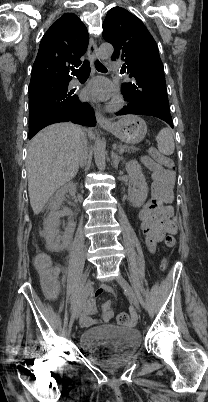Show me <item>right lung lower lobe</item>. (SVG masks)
<instances>
[{"instance_id": "98d812e1", "label": "right lung lower lobe", "mask_w": 208, "mask_h": 402, "mask_svg": "<svg viewBox=\"0 0 208 402\" xmlns=\"http://www.w3.org/2000/svg\"><path fill=\"white\" fill-rule=\"evenodd\" d=\"M34 87H38V85ZM59 122H73L91 127L96 125L93 108L87 102L82 103L79 101L73 109L42 114L32 119L29 122V139L42 128Z\"/></svg>"}]
</instances>
